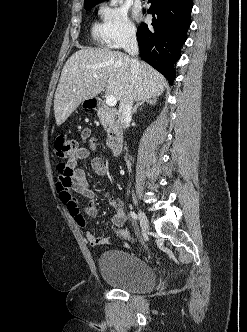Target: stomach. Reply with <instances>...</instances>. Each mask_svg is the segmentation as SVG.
Segmentation results:
<instances>
[{
    "label": "stomach",
    "instance_id": "0dacf381",
    "mask_svg": "<svg viewBox=\"0 0 247 332\" xmlns=\"http://www.w3.org/2000/svg\"><path fill=\"white\" fill-rule=\"evenodd\" d=\"M82 107L84 108H88L90 107V104H89V101L88 100H84L82 103H81Z\"/></svg>",
    "mask_w": 247,
    "mask_h": 332
}]
</instances>
